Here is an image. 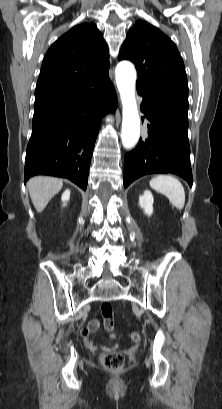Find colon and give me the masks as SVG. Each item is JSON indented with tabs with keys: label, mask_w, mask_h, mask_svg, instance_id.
<instances>
[{
	"label": "colon",
	"mask_w": 222,
	"mask_h": 409,
	"mask_svg": "<svg viewBox=\"0 0 222 409\" xmlns=\"http://www.w3.org/2000/svg\"><path fill=\"white\" fill-rule=\"evenodd\" d=\"M101 315L104 318L105 328L111 331L114 328L113 307L110 303H103L101 305ZM83 335H87V331H83ZM130 339L138 343L141 341V335L138 332H132ZM101 363L104 368L111 371H120L125 365V357L118 352H106L101 355Z\"/></svg>",
	"instance_id": "5ec220e1"
}]
</instances>
